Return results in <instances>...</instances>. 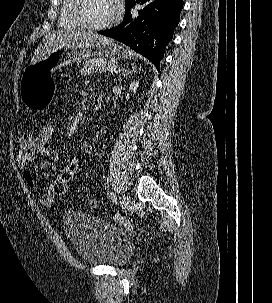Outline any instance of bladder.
I'll return each instance as SVG.
<instances>
[{"label":"bladder","mask_w":272,"mask_h":303,"mask_svg":"<svg viewBox=\"0 0 272 303\" xmlns=\"http://www.w3.org/2000/svg\"><path fill=\"white\" fill-rule=\"evenodd\" d=\"M63 230L78 256L90 265L120 266L133 253L130 238L112 223L84 212H67Z\"/></svg>","instance_id":"bladder-1"}]
</instances>
